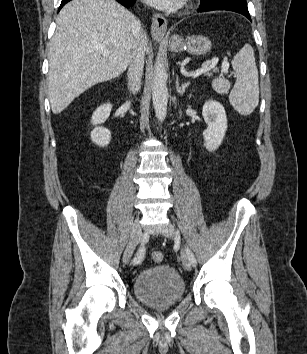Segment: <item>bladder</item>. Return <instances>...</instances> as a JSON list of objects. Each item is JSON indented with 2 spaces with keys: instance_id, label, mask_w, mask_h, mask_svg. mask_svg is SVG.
Returning a JSON list of instances; mask_svg holds the SVG:
<instances>
[{
  "instance_id": "bladder-1",
  "label": "bladder",
  "mask_w": 307,
  "mask_h": 354,
  "mask_svg": "<svg viewBox=\"0 0 307 354\" xmlns=\"http://www.w3.org/2000/svg\"><path fill=\"white\" fill-rule=\"evenodd\" d=\"M184 279L169 265L146 268L136 275L133 292L147 306L160 308L179 302L185 294Z\"/></svg>"
}]
</instances>
